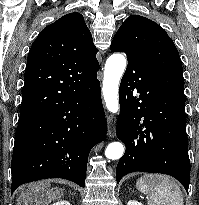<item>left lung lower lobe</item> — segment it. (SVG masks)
Here are the masks:
<instances>
[{
	"label": "left lung lower lobe",
	"instance_id": "left-lung-lower-lobe-1",
	"mask_svg": "<svg viewBox=\"0 0 199 205\" xmlns=\"http://www.w3.org/2000/svg\"><path fill=\"white\" fill-rule=\"evenodd\" d=\"M126 55L128 66L120 84L116 128L126 150L117 164V183L131 172L162 173L179 180L188 192L185 97L166 89L144 63Z\"/></svg>",
	"mask_w": 199,
	"mask_h": 205
}]
</instances>
